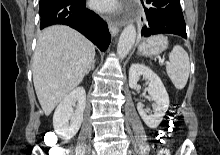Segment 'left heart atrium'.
Listing matches in <instances>:
<instances>
[{
  "mask_svg": "<svg viewBox=\"0 0 220 155\" xmlns=\"http://www.w3.org/2000/svg\"><path fill=\"white\" fill-rule=\"evenodd\" d=\"M92 7L100 12H111L119 7L118 0H91Z\"/></svg>",
  "mask_w": 220,
  "mask_h": 155,
  "instance_id": "obj_1",
  "label": "left heart atrium"
}]
</instances>
